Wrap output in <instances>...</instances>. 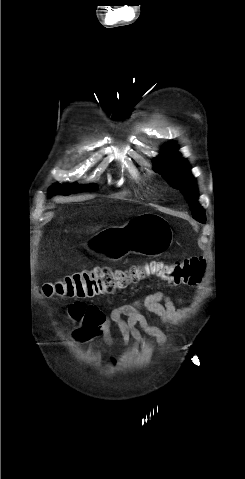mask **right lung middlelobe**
I'll return each instance as SVG.
<instances>
[{"instance_id": "obj_1", "label": "right lung middle lobe", "mask_w": 245, "mask_h": 479, "mask_svg": "<svg viewBox=\"0 0 245 479\" xmlns=\"http://www.w3.org/2000/svg\"><path fill=\"white\" fill-rule=\"evenodd\" d=\"M98 189V186L95 185V184H92V185H87V186H83L79 189L80 192L82 191H95ZM58 192L60 193H63V194H70L69 191L67 189L64 188V186L62 185H53L52 188H50V191H49V194L50 195H54Z\"/></svg>"}]
</instances>
